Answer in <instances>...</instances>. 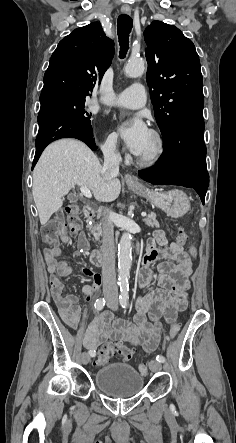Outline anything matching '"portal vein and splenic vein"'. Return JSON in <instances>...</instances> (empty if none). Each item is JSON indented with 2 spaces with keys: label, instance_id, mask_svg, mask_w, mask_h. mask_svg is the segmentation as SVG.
Wrapping results in <instances>:
<instances>
[{
  "label": "portal vein and splenic vein",
  "instance_id": "obj_1",
  "mask_svg": "<svg viewBox=\"0 0 236 443\" xmlns=\"http://www.w3.org/2000/svg\"><path fill=\"white\" fill-rule=\"evenodd\" d=\"M80 191H81V193H82L85 197H87V198H91V197H92L91 191H90L88 188H86V187H81V188H80ZM141 216H142V217H145V216H146V213H145V212H142V213H141Z\"/></svg>",
  "mask_w": 236,
  "mask_h": 443
}]
</instances>
